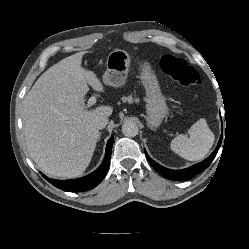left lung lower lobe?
I'll return each mask as SVG.
<instances>
[{
	"mask_svg": "<svg viewBox=\"0 0 249 249\" xmlns=\"http://www.w3.org/2000/svg\"><path fill=\"white\" fill-rule=\"evenodd\" d=\"M221 142H222V135L220 137V140L218 142L216 149L212 152V154L208 158H206L205 160H203L202 162L198 164H195L189 168L182 169V170L167 169L159 165L158 163H156L154 160H152L148 156L146 151H145V154H146L148 161L151 163V165L164 177L171 179V180H176V181L187 180V179L194 177L195 175H197L198 173H200L201 171H203L205 168H207L210 165V163L213 161V159L215 158L220 148Z\"/></svg>",
	"mask_w": 249,
	"mask_h": 249,
	"instance_id": "left-lung-lower-lobe-1",
	"label": "left lung lower lobe"
}]
</instances>
